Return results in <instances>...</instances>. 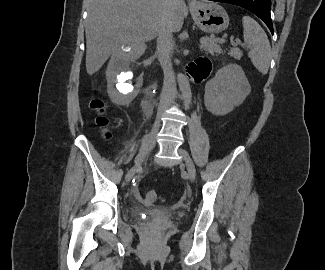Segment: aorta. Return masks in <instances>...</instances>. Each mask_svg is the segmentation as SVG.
Returning a JSON list of instances; mask_svg holds the SVG:
<instances>
[{
	"label": "aorta",
	"instance_id": "obj_1",
	"mask_svg": "<svg viewBox=\"0 0 325 270\" xmlns=\"http://www.w3.org/2000/svg\"><path fill=\"white\" fill-rule=\"evenodd\" d=\"M177 80H178V85H179L180 91L184 98L185 107L188 108L191 103V98H192L190 84H189L187 78L185 77V75H183L181 73H179L177 75Z\"/></svg>",
	"mask_w": 325,
	"mask_h": 270
}]
</instances>
